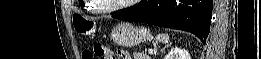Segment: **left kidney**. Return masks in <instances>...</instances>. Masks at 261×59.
Instances as JSON below:
<instances>
[{
  "instance_id": "left-kidney-1",
  "label": "left kidney",
  "mask_w": 261,
  "mask_h": 59,
  "mask_svg": "<svg viewBox=\"0 0 261 59\" xmlns=\"http://www.w3.org/2000/svg\"><path fill=\"white\" fill-rule=\"evenodd\" d=\"M164 59H191V57L187 50L176 46L166 54Z\"/></svg>"
}]
</instances>
